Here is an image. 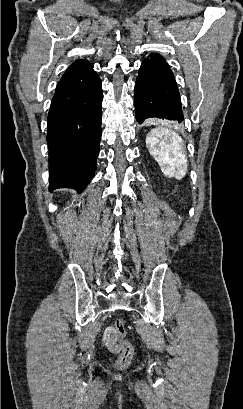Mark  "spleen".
I'll list each match as a JSON object with an SVG mask.
<instances>
[{"mask_svg":"<svg viewBox=\"0 0 243 409\" xmlns=\"http://www.w3.org/2000/svg\"><path fill=\"white\" fill-rule=\"evenodd\" d=\"M146 145L165 176L182 179L186 175L188 165L183 140L175 131L156 127L148 133Z\"/></svg>","mask_w":243,"mask_h":409,"instance_id":"spleen-1","label":"spleen"}]
</instances>
